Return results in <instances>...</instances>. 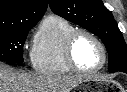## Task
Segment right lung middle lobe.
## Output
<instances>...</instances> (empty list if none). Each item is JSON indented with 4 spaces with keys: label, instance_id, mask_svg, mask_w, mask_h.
I'll use <instances>...</instances> for the list:
<instances>
[{
    "label": "right lung middle lobe",
    "instance_id": "1",
    "mask_svg": "<svg viewBox=\"0 0 127 92\" xmlns=\"http://www.w3.org/2000/svg\"><path fill=\"white\" fill-rule=\"evenodd\" d=\"M35 25L0 29V61L23 62V45Z\"/></svg>",
    "mask_w": 127,
    "mask_h": 92
}]
</instances>
